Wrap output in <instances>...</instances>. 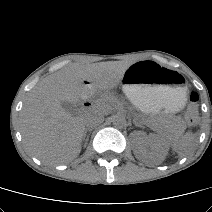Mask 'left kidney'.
<instances>
[{"label":"left kidney","instance_id":"5707ae66","mask_svg":"<svg viewBox=\"0 0 212 212\" xmlns=\"http://www.w3.org/2000/svg\"><path fill=\"white\" fill-rule=\"evenodd\" d=\"M134 135L138 137L137 147L134 150L137 158L164 160L169 149L165 138L157 134L147 135L142 131L134 132Z\"/></svg>","mask_w":212,"mask_h":212}]
</instances>
